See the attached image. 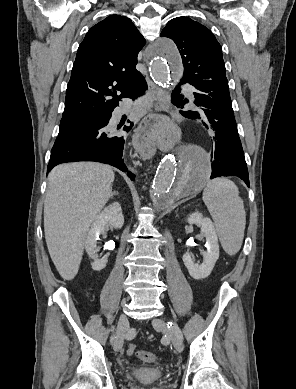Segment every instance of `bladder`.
Returning a JSON list of instances; mask_svg holds the SVG:
<instances>
[{
  "label": "bladder",
  "instance_id": "bladder-1",
  "mask_svg": "<svg viewBox=\"0 0 296 389\" xmlns=\"http://www.w3.org/2000/svg\"><path fill=\"white\" fill-rule=\"evenodd\" d=\"M130 376L142 383H152L163 378L164 373L157 368L139 367L132 369L130 371Z\"/></svg>",
  "mask_w": 296,
  "mask_h": 389
}]
</instances>
